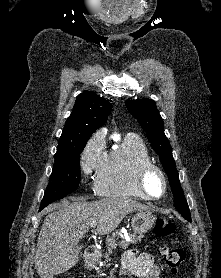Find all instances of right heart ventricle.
I'll list each match as a JSON object with an SVG mask.
<instances>
[{
  "label": "right heart ventricle",
  "mask_w": 221,
  "mask_h": 278,
  "mask_svg": "<svg viewBox=\"0 0 221 278\" xmlns=\"http://www.w3.org/2000/svg\"><path fill=\"white\" fill-rule=\"evenodd\" d=\"M151 161L145 142L128 134L120 146L106 152L104 162L96 174L95 187L104 196L146 199L134 182L137 165Z\"/></svg>",
  "instance_id": "obj_1"
}]
</instances>
